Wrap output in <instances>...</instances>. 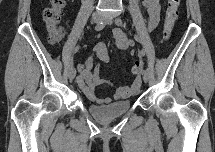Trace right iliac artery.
I'll return each mask as SVG.
<instances>
[{
	"mask_svg": "<svg viewBox=\"0 0 215 152\" xmlns=\"http://www.w3.org/2000/svg\"><path fill=\"white\" fill-rule=\"evenodd\" d=\"M105 26H106V22H104V21H103V22H100V23H98V24L95 26V30H96V31H100V30H102ZM77 50H78V48H76V49L73 51V53H76ZM68 63H69V68L73 67V57H71V58L69 59Z\"/></svg>",
	"mask_w": 215,
	"mask_h": 152,
	"instance_id": "82829eb1",
	"label": "right iliac artery"
}]
</instances>
